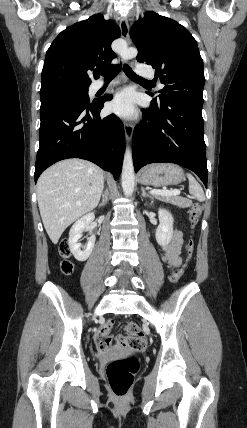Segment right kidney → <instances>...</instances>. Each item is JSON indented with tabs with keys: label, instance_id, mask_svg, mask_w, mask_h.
Segmentation results:
<instances>
[{
	"label": "right kidney",
	"instance_id": "obj_1",
	"mask_svg": "<svg viewBox=\"0 0 247 428\" xmlns=\"http://www.w3.org/2000/svg\"><path fill=\"white\" fill-rule=\"evenodd\" d=\"M94 218L95 216L93 212L88 213L76 221L70 229L68 244L72 254L78 261L82 262L87 260L94 248L96 239L94 235H91L88 238L87 245L82 247V249L81 244L78 242L82 236L83 230L90 225Z\"/></svg>",
	"mask_w": 247,
	"mask_h": 428
}]
</instances>
